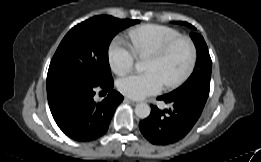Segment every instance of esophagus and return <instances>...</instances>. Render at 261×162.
Masks as SVG:
<instances>
[{"label":"esophagus","instance_id":"34e87169","mask_svg":"<svg viewBox=\"0 0 261 162\" xmlns=\"http://www.w3.org/2000/svg\"><path fill=\"white\" fill-rule=\"evenodd\" d=\"M124 100L127 101V102H129V103L132 104V105L137 104V102H135V101H133V100H131V99H129V98H125Z\"/></svg>","mask_w":261,"mask_h":162}]
</instances>
